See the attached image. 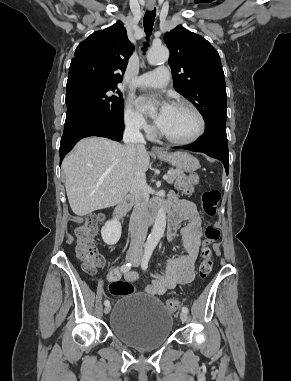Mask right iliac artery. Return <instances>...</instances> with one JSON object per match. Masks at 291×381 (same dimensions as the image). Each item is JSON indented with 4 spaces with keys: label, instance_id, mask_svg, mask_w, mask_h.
Instances as JSON below:
<instances>
[{
    "label": "right iliac artery",
    "instance_id": "82829eb1",
    "mask_svg": "<svg viewBox=\"0 0 291 381\" xmlns=\"http://www.w3.org/2000/svg\"><path fill=\"white\" fill-rule=\"evenodd\" d=\"M131 266H132L131 263H125V264H123V265L121 266L120 270H121V272L125 273V272H127V271H129V270L131 269ZM109 304H110L109 300H105V301H104V305L107 306V305H109Z\"/></svg>",
    "mask_w": 291,
    "mask_h": 381
}]
</instances>
